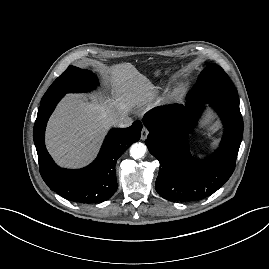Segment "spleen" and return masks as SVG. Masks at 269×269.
<instances>
[{
	"label": "spleen",
	"mask_w": 269,
	"mask_h": 269,
	"mask_svg": "<svg viewBox=\"0 0 269 269\" xmlns=\"http://www.w3.org/2000/svg\"><path fill=\"white\" fill-rule=\"evenodd\" d=\"M199 157H200V158H202V157H203V155H199Z\"/></svg>",
	"instance_id": "spleen-1"
}]
</instances>
